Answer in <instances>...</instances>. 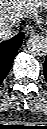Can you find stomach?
<instances>
[{"instance_id":"0dacf381","label":"stomach","mask_w":47,"mask_h":129,"mask_svg":"<svg viewBox=\"0 0 47 129\" xmlns=\"http://www.w3.org/2000/svg\"><path fill=\"white\" fill-rule=\"evenodd\" d=\"M44 8H45V15H46V21H47V0H44Z\"/></svg>"}]
</instances>
